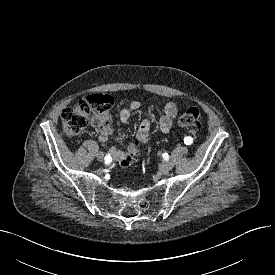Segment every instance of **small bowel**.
Wrapping results in <instances>:
<instances>
[{
    "label": "small bowel",
    "mask_w": 275,
    "mask_h": 275,
    "mask_svg": "<svg viewBox=\"0 0 275 275\" xmlns=\"http://www.w3.org/2000/svg\"><path fill=\"white\" fill-rule=\"evenodd\" d=\"M140 108V103L138 101H132L125 108L120 111L119 119L122 124H126L130 119L132 113ZM178 113V107L175 103L170 102L166 104L164 112L157 117V123L159 129L163 133H168L173 125V121ZM99 129V141L101 144H105L108 138L113 134L114 129L108 119L105 122L97 123ZM151 127V120L144 117L138 127L136 138V143H131L125 151H120L115 147L109 148V153L113 158L119 160L120 163L130 160L137 155L139 145L138 143H147L149 140V133Z\"/></svg>",
    "instance_id": "obj_1"
}]
</instances>
